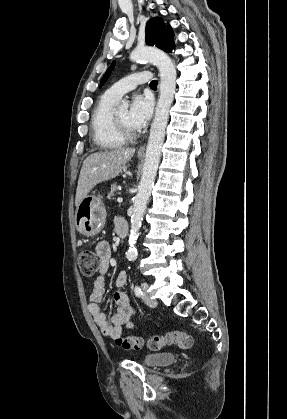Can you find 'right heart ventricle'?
I'll list each match as a JSON object with an SVG mask.
<instances>
[{"mask_svg":"<svg viewBox=\"0 0 287 419\" xmlns=\"http://www.w3.org/2000/svg\"><path fill=\"white\" fill-rule=\"evenodd\" d=\"M117 99L106 92L99 98L92 116L91 132L94 143L102 149H115L124 144L112 123V113Z\"/></svg>","mask_w":287,"mask_h":419,"instance_id":"right-heart-ventricle-1","label":"right heart ventricle"}]
</instances>
